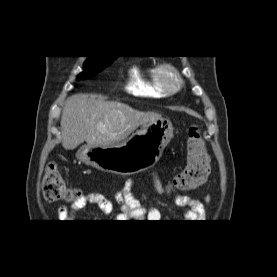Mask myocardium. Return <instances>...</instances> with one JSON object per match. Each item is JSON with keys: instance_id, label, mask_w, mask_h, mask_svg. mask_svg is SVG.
Returning a JSON list of instances; mask_svg holds the SVG:
<instances>
[{"instance_id": "myocardium-1", "label": "myocardium", "mask_w": 277, "mask_h": 277, "mask_svg": "<svg viewBox=\"0 0 277 277\" xmlns=\"http://www.w3.org/2000/svg\"><path fill=\"white\" fill-rule=\"evenodd\" d=\"M158 82L166 94L179 92L183 86V79L177 67L170 63H162L156 67Z\"/></svg>"}]
</instances>
